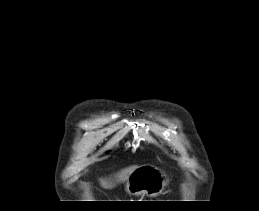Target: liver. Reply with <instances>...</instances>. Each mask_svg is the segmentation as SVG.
I'll return each mask as SVG.
<instances>
[{"label":"liver","mask_w":259,"mask_h":211,"mask_svg":"<svg viewBox=\"0 0 259 211\" xmlns=\"http://www.w3.org/2000/svg\"><path fill=\"white\" fill-rule=\"evenodd\" d=\"M138 166H130L121 170L119 173L115 175L114 180H106L100 179V184L103 188L111 189L116 186V183L127 182L130 174L137 168Z\"/></svg>","instance_id":"1"}]
</instances>
